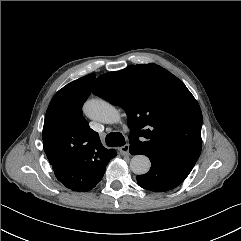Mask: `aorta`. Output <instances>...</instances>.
Instances as JSON below:
<instances>
[{
    "label": "aorta",
    "instance_id": "aorta-1",
    "mask_svg": "<svg viewBox=\"0 0 241 241\" xmlns=\"http://www.w3.org/2000/svg\"><path fill=\"white\" fill-rule=\"evenodd\" d=\"M85 115L95 121L101 123H118L121 115L109 102L102 99H90L83 107ZM151 167L150 159L142 154L134 155L130 161V169L134 174H146Z\"/></svg>",
    "mask_w": 241,
    "mask_h": 241
}]
</instances>
